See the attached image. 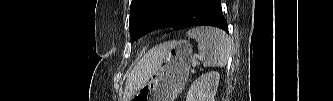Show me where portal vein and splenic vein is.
Returning <instances> with one entry per match:
<instances>
[{
	"instance_id": "obj_1",
	"label": "portal vein and splenic vein",
	"mask_w": 333,
	"mask_h": 101,
	"mask_svg": "<svg viewBox=\"0 0 333 101\" xmlns=\"http://www.w3.org/2000/svg\"><path fill=\"white\" fill-rule=\"evenodd\" d=\"M196 58H197V57H196ZM196 58H195L194 61H193V67H195L196 64L198 63Z\"/></svg>"
}]
</instances>
